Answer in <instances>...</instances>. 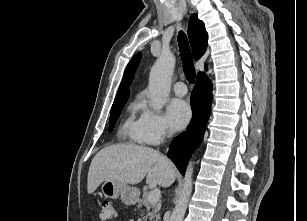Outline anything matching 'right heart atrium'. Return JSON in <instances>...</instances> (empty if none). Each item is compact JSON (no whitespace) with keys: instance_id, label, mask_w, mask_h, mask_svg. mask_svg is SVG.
Segmentation results:
<instances>
[{"instance_id":"d8ad5b80","label":"right heart atrium","mask_w":307,"mask_h":221,"mask_svg":"<svg viewBox=\"0 0 307 221\" xmlns=\"http://www.w3.org/2000/svg\"><path fill=\"white\" fill-rule=\"evenodd\" d=\"M140 120L147 144H160L172 135L166 118L158 111L143 106Z\"/></svg>"}]
</instances>
